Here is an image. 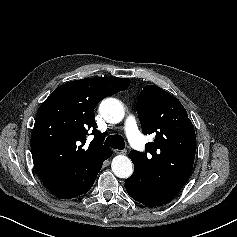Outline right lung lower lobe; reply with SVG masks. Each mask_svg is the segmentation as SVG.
<instances>
[{
	"instance_id": "98d812e1",
	"label": "right lung lower lobe",
	"mask_w": 237,
	"mask_h": 237,
	"mask_svg": "<svg viewBox=\"0 0 237 237\" xmlns=\"http://www.w3.org/2000/svg\"><path fill=\"white\" fill-rule=\"evenodd\" d=\"M101 167H102V165H101L100 167L97 168L95 174L93 175V183H94V181H95V179H96V176H97V174L99 173ZM92 185H93V184H92ZM92 185L90 186V188L92 187ZM90 188H89V189H90ZM89 189H88V190H89ZM88 190H87V191H88Z\"/></svg>"
}]
</instances>
